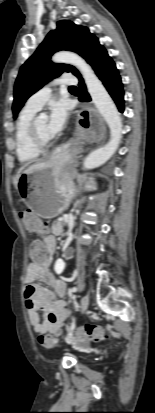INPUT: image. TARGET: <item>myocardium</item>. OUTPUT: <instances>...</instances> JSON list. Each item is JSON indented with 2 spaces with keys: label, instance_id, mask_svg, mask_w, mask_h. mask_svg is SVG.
Returning <instances> with one entry per match:
<instances>
[{
  "label": "myocardium",
  "instance_id": "1",
  "mask_svg": "<svg viewBox=\"0 0 155 413\" xmlns=\"http://www.w3.org/2000/svg\"><path fill=\"white\" fill-rule=\"evenodd\" d=\"M36 122V119H33V121L31 122L28 130V137L32 146L41 151L51 144V139L44 140L40 137L36 128Z\"/></svg>",
  "mask_w": 155,
  "mask_h": 413
}]
</instances>
